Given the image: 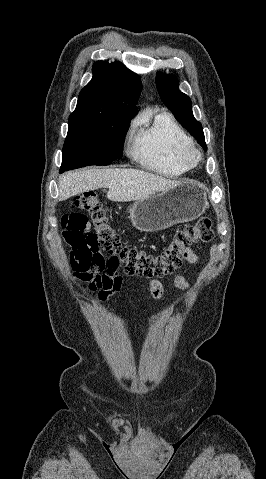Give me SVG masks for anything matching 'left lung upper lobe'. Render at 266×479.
Segmentation results:
<instances>
[{
	"label": "left lung upper lobe",
	"mask_w": 266,
	"mask_h": 479,
	"mask_svg": "<svg viewBox=\"0 0 266 479\" xmlns=\"http://www.w3.org/2000/svg\"><path fill=\"white\" fill-rule=\"evenodd\" d=\"M156 85L163 103L206 150L202 125L193 116L190 98L178 89L177 79L172 75L157 73Z\"/></svg>",
	"instance_id": "1"
}]
</instances>
